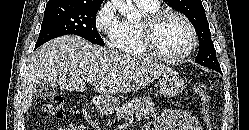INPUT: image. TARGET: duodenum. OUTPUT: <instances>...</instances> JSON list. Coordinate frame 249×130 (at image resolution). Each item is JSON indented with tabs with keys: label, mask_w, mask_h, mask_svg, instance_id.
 <instances>
[{
	"label": "duodenum",
	"mask_w": 249,
	"mask_h": 130,
	"mask_svg": "<svg viewBox=\"0 0 249 130\" xmlns=\"http://www.w3.org/2000/svg\"><path fill=\"white\" fill-rule=\"evenodd\" d=\"M96 104H98V100L96 99L95 101H94Z\"/></svg>",
	"instance_id": "duodenum-1"
}]
</instances>
